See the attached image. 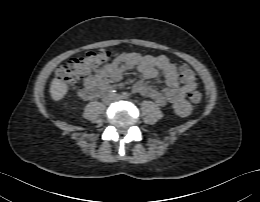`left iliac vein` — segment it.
<instances>
[{"instance_id": "1", "label": "left iliac vein", "mask_w": 260, "mask_h": 202, "mask_svg": "<svg viewBox=\"0 0 260 202\" xmlns=\"http://www.w3.org/2000/svg\"><path fill=\"white\" fill-rule=\"evenodd\" d=\"M122 98H123L122 95H116V96H115V99H117V100L122 99Z\"/></svg>"}]
</instances>
